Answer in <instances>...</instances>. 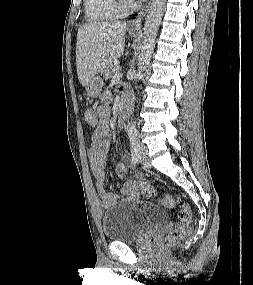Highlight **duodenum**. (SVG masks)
Masks as SVG:
<instances>
[{"instance_id": "duodenum-1", "label": "duodenum", "mask_w": 253, "mask_h": 285, "mask_svg": "<svg viewBox=\"0 0 253 285\" xmlns=\"http://www.w3.org/2000/svg\"><path fill=\"white\" fill-rule=\"evenodd\" d=\"M130 112V98L125 96L118 106L117 125L123 126Z\"/></svg>"}]
</instances>
